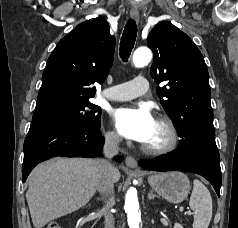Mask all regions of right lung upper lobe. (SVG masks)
<instances>
[{
	"label": "right lung upper lobe",
	"instance_id": "obj_1",
	"mask_svg": "<svg viewBox=\"0 0 238 228\" xmlns=\"http://www.w3.org/2000/svg\"><path fill=\"white\" fill-rule=\"evenodd\" d=\"M106 20L80 23L49 56L33 116L46 115L92 98L113 63L115 38Z\"/></svg>",
	"mask_w": 238,
	"mask_h": 228
}]
</instances>
